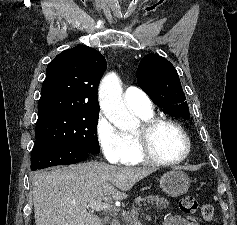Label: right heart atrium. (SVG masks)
I'll return each mask as SVG.
<instances>
[{"instance_id": "right-heart-atrium-1", "label": "right heart atrium", "mask_w": 237, "mask_h": 225, "mask_svg": "<svg viewBox=\"0 0 237 225\" xmlns=\"http://www.w3.org/2000/svg\"><path fill=\"white\" fill-rule=\"evenodd\" d=\"M95 133L102 153L110 163L121 164L127 160L131 152L130 143L103 114L98 117Z\"/></svg>"}]
</instances>
